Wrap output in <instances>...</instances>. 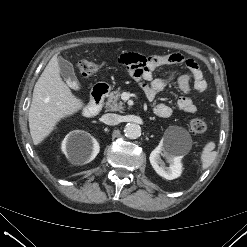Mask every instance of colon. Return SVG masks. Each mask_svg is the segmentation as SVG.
Wrapping results in <instances>:
<instances>
[{
    "label": "colon",
    "instance_id": "colon-1",
    "mask_svg": "<svg viewBox=\"0 0 247 247\" xmlns=\"http://www.w3.org/2000/svg\"><path fill=\"white\" fill-rule=\"evenodd\" d=\"M101 67V63L83 60L78 65L79 73L82 77H88ZM189 128L196 134H202L207 130V123L198 117L189 120Z\"/></svg>",
    "mask_w": 247,
    "mask_h": 247
}]
</instances>
